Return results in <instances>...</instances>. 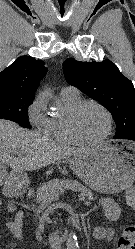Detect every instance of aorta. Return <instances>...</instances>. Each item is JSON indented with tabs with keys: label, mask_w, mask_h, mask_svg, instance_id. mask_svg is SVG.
<instances>
[{
	"label": "aorta",
	"mask_w": 135,
	"mask_h": 249,
	"mask_svg": "<svg viewBox=\"0 0 135 249\" xmlns=\"http://www.w3.org/2000/svg\"><path fill=\"white\" fill-rule=\"evenodd\" d=\"M78 241L75 232H70L67 237L66 249H78Z\"/></svg>",
	"instance_id": "aorta-1"
}]
</instances>
